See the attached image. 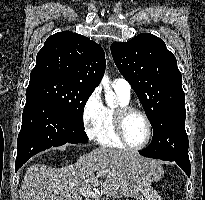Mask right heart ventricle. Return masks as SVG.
Instances as JSON below:
<instances>
[{
  "mask_svg": "<svg viewBox=\"0 0 205 200\" xmlns=\"http://www.w3.org/2000/svg\"><path fill=\"white\" fill-rule=\"evenodd\" d=\"M116 94L120 105H129L130 98L124 97L118 92H116ZM113 113V109L105 107L103 125L96 140L98 144L103 147L122 149L124 145L119 141L114 131Z\"/></svg>",
  "mask_w": 205,
  "mask_h": 200,
  "instance_id": "e07e8e85",
  "label": "right heart ventricle"
}]
</instances>
